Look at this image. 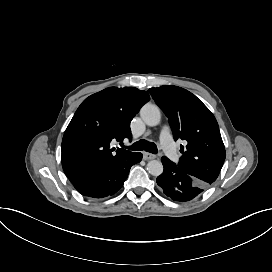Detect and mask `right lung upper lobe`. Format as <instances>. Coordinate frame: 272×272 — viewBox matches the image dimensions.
Listing matches in <instances>:
<instances>
[{
    "mask_svg": "<svg viewBox=\"0 0 272 272\" xmlns=\"http://www.w3.org/2000/svg\"><path fill=\"white\" fill-rule=\"evenodd\" d=\"M150 100L135 87H109L86 98L62 140V166L69 180L101 170L133 152L111 148V141L132 138L130 122ZM114 151V152H113Z\"/></svg>",
    "mask_w": 272,
    "mask_h": 272,
    "instance_id": "obj_1",
    "label": "right lung upper lobe"
}]
</instances>
